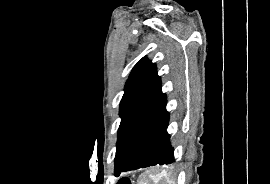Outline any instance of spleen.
I'll use <instances>...</instances> for the list:
<instances>
[{
	"mask_svg": "<svg viewBox=\"0 0 270 184\" xmlns=\"http://www.w3.org/2000/svg\"><path fill=\"white\" fill-rule=\"evenodd\" d=\"M138 184H171L170 174L166 170L159 173L147 171L141 175Z\"/></svg>",
	"mask_w": 270,
	"mask_h": 184,
	"instance_id": "3e777b00",
	"label": "spleen"
}]
</instances>
